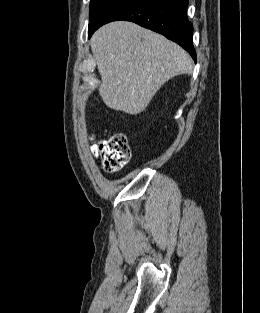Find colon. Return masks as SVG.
<instances>
[{
    "mask_svg": "<svg viewBox=\"0 0 260 313\" xmlns=\"http://www.w3.org/2000/svg\"><path fill=\"white\" fill-rule=\"evenodd\" d=\"M95 155L102 159L103 169L107 173L121 170L130 160L131 150L124 133H116L93 147Z\"/></svg>",
    "mask_w": 260,
    "mask_h": 313,
    "instance_id": "5ec220e1",
    "label": "colon"
}]
</instances>
